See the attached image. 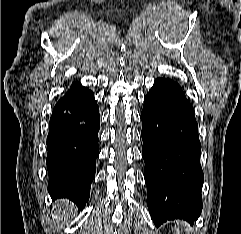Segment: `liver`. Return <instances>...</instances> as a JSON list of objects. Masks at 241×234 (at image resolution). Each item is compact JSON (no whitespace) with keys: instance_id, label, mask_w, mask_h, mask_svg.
I'll return each instance as SVG.
<instances>
[{"instance_id":"obj_1","label":"liver","mask_w":241,"mask_h":234,"mask_svg":"<svg viewBox=\"0 0 241 234\" xmlns=\"http://www.w3.org/2000/svg\"><path fill=\"white\" fill-rule=\"evenodd\" d=\"M62 209V210H61ZM70 209V206H69V202L68 201H63L62 203L60 202L58 205H57V211H58V214L57 215H53L54 218L56 219V222L57 224L67 216L68 214V211ZM62 211V214L60 215V212Z\"/></svg>"}]
</instances>
